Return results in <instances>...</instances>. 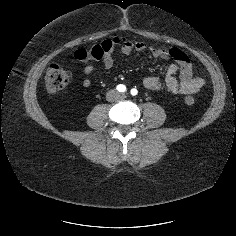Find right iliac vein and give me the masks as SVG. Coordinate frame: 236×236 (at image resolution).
Returning <instances> with one entry per match:
<instances>
[{"label": "right iliac vein", "instance_id": "obj_1", "mask_svg": "<svg viewBox=\"0 0 236 236\" xmlns=\"http://www.w3.org/2000/svg\"><path fill=\"white\" fill-rule=\"evenodd\" d=\"M110 97H112V98H113V97H114V94H111V95H110Z\"/></svg>", "mask_w": 236, "mask_h": 236}]
</instances>
